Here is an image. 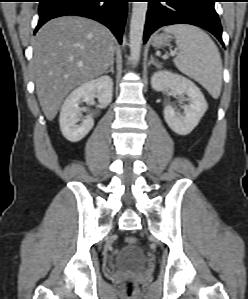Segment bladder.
<instances>
[{"mask_svg":"<svg viewBox=\"0 0 248 299\" xmlns=\"http://www.w3.org/2000/svg\"><path fill=\"white\" fill-rule=\"evenodd\" d=\"M145 265V256L136 245L124 248L114 259L112 267L116 270L138 271Z\"/></svg>","mask_w":248,"mask_h":299,"instance_id":"1","label":"bladder"}]
</instances>
